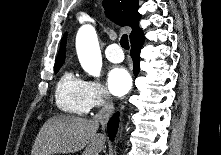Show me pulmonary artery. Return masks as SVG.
<instances>
[{
    "label": "pulmonary artery",
    "instance_id": "obj_1",
    "mask_svg": "<svg viewBox=\"0 0 221 155\" xmlns=\"http://www.w3.org/2000/svg\"><path fill=\"white\" fill-rule=\"evenodd\" d=\"M105 56L109 61L114 63H119L124 59V54L121 50V47L117 43H113L107 46L105 49Z\"/></svg>",
    "mask_w": 221,
    "mask_h": 155
}]
</instances>
